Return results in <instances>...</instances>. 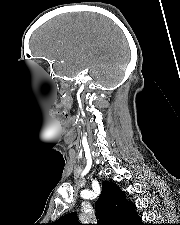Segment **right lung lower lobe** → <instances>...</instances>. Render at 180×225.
Returning a JSON list of instances; mask_svg holds the SVG:
<instances>
[{
    "label": "right lung lower lobe",
    "instance_id": "98d812e1",
    "mask_svg": "<svg viewBox=\"0 0 180 225\" xmlns=\"http://www.w3.org/2000/svg\"><path fill=\"white\" fill-rule=\"evenodd\" d=\"M133 225H144L141 223V219L139 218L135 223H133Z\"/></svg>",
    "mask_w": 180,
    "mask_h": 225
}]
</instances>
